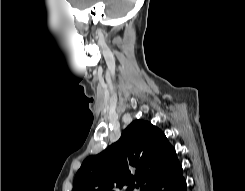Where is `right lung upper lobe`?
<instances>
[{"label": "right lung upper lobe", "instance_id": "right-lung-upper-lobe-1", "mask_svg": "<svg viewBox=\"0 0 245 191\" xmlns=\"http://www.w3.org/2000/svg\"><path fill=\"white\" fill-rule=\"evenodd\" d=\"M179 165L164 133L150 122L135 120L116 143L84 160L72 191H117L127 186L130 190L134 181L140 191H149Z\"/></svg>", "mask_w": 245, "mask_h": 191}]
</instances>
